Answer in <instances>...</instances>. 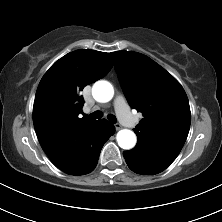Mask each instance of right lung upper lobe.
I'll return each mask as SVG.
<instances>
[{
    "label": "right lung upper lobe",
    "instance_id": "1",
    "mask_svg": "<svg viewBox=\"0 0 222 222\" xmlns=\"http://www.w3.org/2000/svg\"><path fill=\"white\" fill-rule=\"evenodd\" d=\"M112 66L108 53L80 49L56 61L39 83L33 106L35 131L44 152L63 172L85 158L89 134L99 121L80 117V91Z\"/></svg>",
    "mask_w": 222,
    "mask_h": 222
}]
</instances>
